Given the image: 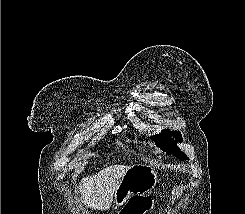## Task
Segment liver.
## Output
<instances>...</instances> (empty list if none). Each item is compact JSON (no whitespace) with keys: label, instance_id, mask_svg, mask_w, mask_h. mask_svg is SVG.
<instances>
[{"label":"liver","instance_id":"obj_1","mask_svg":"<svg viewBox=\"0 0 245 214\" xmlns=\"http://www.w3.org/2000/svg\"><path fill=\"white\" fill-rule=\"evenodd\" d=\"M129 166L111 165L81 180L79 191L84 204L94 210L105 211L111 207L115 191Z\"/></svg>","mask_w":245,"mask_h":214}]
</instances>
